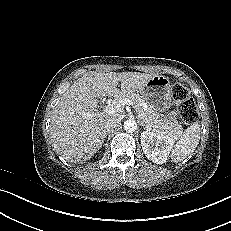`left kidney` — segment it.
<instances>
[{"instance_id": "1", "label": "left kidney", "mask_w": 231, "mask_h": 231, "mask_svg": "<svg viewBox=\"0 0 231 231\" xmlns=\"http://www.w3.org/2000/svg\"><path fill=\"white\" fill-rule=\"evenodd\" d=\"M173 138L162 133L146 130L141 133V146L145 156L156 164L167 161Z\"/></svg>"}]
</instances>
